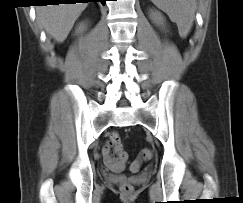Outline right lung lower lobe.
Here are the masks:
<instances>
[{
  "label": "right lung lower lobe",
  "instance_id": "right-lung-lower-lobe-1",
  "mask_svg": "<svg viewBox=\"0 0 243 203\" xmlns=\"http://www.w3.org/2000/svg\"><path fill=\"white\" fill-rule=\"evenodd\" d=\"M47 1H52V0H41L38 4L36 5H46L45 2ZM55 1V0H54ZM60 2H55V3H76L77 1H85L84 3H88V2H101L103 4H105L106 0H58ZM59 5V4H58Z\"/></svg>",
  "mask_w": 243,
  "mask_h": 203
}]
</instances>
